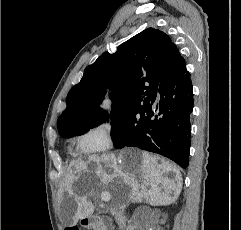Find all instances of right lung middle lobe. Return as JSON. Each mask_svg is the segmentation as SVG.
Listing matches in <instances>:
<instances>
[{
  "label": "right lung middle lobe",
  "instance_id": "right-lung-middle-lobe-1",
  "mask_svg": "<svg viewBox=\"0 0 241 230\" xmlns=\"http://www.w3.org/2000/svg\"><path fill=\"white\" fill-rule=\"evenodd\" d=\"M149 102L150 100L136 107L118 108L111 112V137L114 145H119L125 142L129 134L139 131L147 123V109ZM107 119L108 116L102 119L83 122L68 130L59 132V134L66 138L82 135L89 131L90 128L99 125Z\"/></svg>",
  "mask_w": 241,
  "mask_h": 230
}]
</instances>
